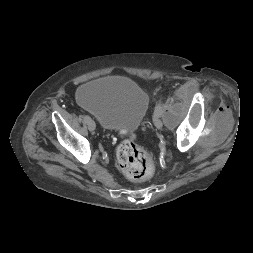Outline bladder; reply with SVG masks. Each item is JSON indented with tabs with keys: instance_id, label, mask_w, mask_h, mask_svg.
Listing matches in <instances>:
<instances>
[{
	"instance_id": "1",
	"label": "bladder",
	"mask_w": 253,
	"mask_h": 253,
	"mask_svg": "<svg viewBox=\"0 0 253 253\" xmlns=\"http://www.w3.org/2000/svg\"><path fill=\"white\" fill-rule=\"evenodd\" d=\"M81 107L98 119L102 128L121 132L135 130L149 108V95L126 77H103L77 89Z\"/></svg>"
}]
</instances>
